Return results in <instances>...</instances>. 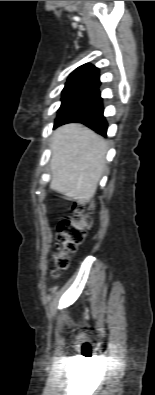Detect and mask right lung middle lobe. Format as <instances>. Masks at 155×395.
Here are the masks:
<instances>
[{
	"mask_svg": "<svg viewBox=\"0 0 155 395\" xmlns=\"http://www.w3.org/2000/svg\"><path fill=\"white\" fill-rule=\"evenodd\" d=\"M99 97L98 87L77 84L65 85L62 91V104L55 124L81 112Z\"/></svg>",
	"mask_w": 155,
	"mask_h": 395,
	"instance_id": "right-lung-middle-lobe-1",
	"label": "right lung middle lobe"
}]
</instances>
